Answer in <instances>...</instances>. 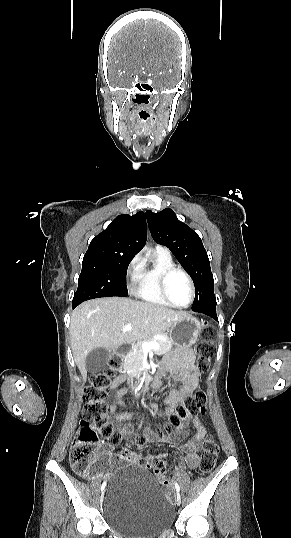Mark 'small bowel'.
<instances>
[{
    "instance_id": "1",
    "label": "small bowel",
    "mask_w": 291,
    "mask_h": 538,
    "mask_svg": "<svg viewBox=\"0 0 291 538\" xmlns=\"http://www.w3.org/2000/svg\"><path fill=\"white\" fill-rule=\"evenodd\" d=\"M192 359L193 354L188 350L171 354L166 358L164 367L172 377L180 382V386L172 389L164 399L165 409L163 410V414L171 415L184 397L191 394L198 387V372L193 366ZM125 380L126 375H121L113 380L111 385V389L113 390L112 403L110 406L111 415L117 422L119 433L123 438L128 437L132 432L131 425L125 423L130 415L119 411V408L125 406L123 398L127 391L124 388L118 389V387ZM160 385L161 381L159 378L151 381V386L154 388H158ZM187 420L191 421L194 429V435L191 438L183 442L185 431L181 429L174 435L165 437L164 442L185 451L187 453L185 457L187 467L189 469H196L200 463L199 451L203 445L206 430L198 416L189 417ZM104 456L111 465L137 464L142 458L141 455L134 451H131L127 456L112 453H105ZM165 456L166 453L163 451L152 452L147 456V459H160Z\"/></svg>"
}]
</instances>
